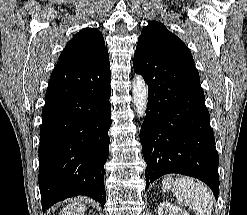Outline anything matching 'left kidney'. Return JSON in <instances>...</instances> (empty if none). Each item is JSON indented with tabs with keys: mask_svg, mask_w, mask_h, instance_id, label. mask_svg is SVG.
<instances>
[{
	"mask_svg": "<svg viewBox=\"0 0 247 215\" xmlns=\"http://www.w3.org/2000/svg\"><path fill=\"white\" fill-rule=\"evenodd\" d=\"M158 215H190L185 209L170 202H161L158 206Z\"/></svg>",
	"mask_w": 247,
	"mask_h": 215,
	"instance_id": "1",
	"label": "left kidney"
}]
</instances>
